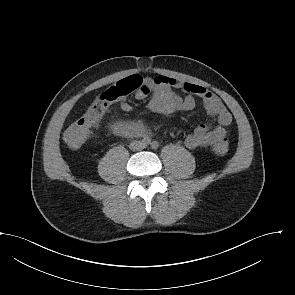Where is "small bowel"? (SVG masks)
<instances>
[{
    "label": "small bowel",
    "instance_id": "small-bowel-1",
    "mask_svg": "<svg viewBox=\"0 0 295 295\" xmlns=\"http://www.w3.org/2000/svg\"><path fill=\"white\" fill-rule=\"evenodd\" d=\"M176 90L185 93L180 97ZM150 95L148 108L150 111L164 117H171L179 112L191 111L196 106V98L203 101L208 116L216 120V125L204 123L197 126L185 136L184 143L190 149L215 146L227 142L228 128L232 123V115L221 99L207 88L191 84L177 78L163 75L143 79L142 87L136 92L137 99ZM123 111H130L128 102H121ZM115 130L124 136L142 135L145 126L140 121H127L115 124Z\"/></svg>",
    "mask_w": 295,
    "mask_h": 295
}]
</instances>
